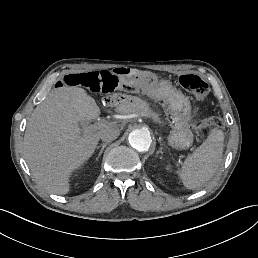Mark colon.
<instances>
[{"label":"colon","instance_id":"1","mask_svg":"<svg viewBox=\"0 0 258 258\" xmlns=\"http://www.w3.org/2000/svg\"><path fill=\"white\" fill-rule=\"evenodd\" d=\"M183 88L193 94L198 101H204L209 93L208 85L195 74H185L179 78ZM62 86L82 87L94 93L112 94L117 91L129 92L133 90L132 84L120 81L114 71L103 70L77 74H67L61 80ZM211 123L218 120L212 118Z\"/></svg>","mask_w":258,"mask_h":258}]
</instances>
